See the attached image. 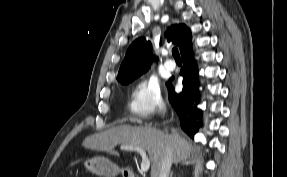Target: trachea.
Listing matches in <instances>:
<instances>
[{"label":"trachea","instance_id":"trachea-1","mask_svg":"<svg viewBox=\"0 0 287 177\" xmlns=\"http://www.w3.org/2000/svg\"><path fill=\"white\" fill-rule=\"evenodd\" d=\"M172 55H173L175 61H181V57H180L178 48L174 47V48L172 49Z\"/></svg>","mask_w":287,"mask_h":177}]
</instances>
